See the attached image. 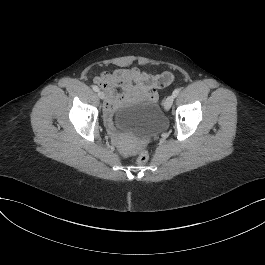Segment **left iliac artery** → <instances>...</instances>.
<instances>
[{
	"label": "left iliac artery",
	"mask_w": 265,
	"mask_h": 265,
	"mask_svg": "<svg viewBox=\"0 0 265 265\" xmlns=\"http://www.w3.org/2000/svg\"><path fill=\"white\" fill-rule=\"evenodd\" d=\"M179 92H180V89H175L174 91H173V93H172V95L174 96V97H176L178 94H179Z\"/></svg>",
	"instance_id": "left-iliac-artery-1"
}]
</instances>
